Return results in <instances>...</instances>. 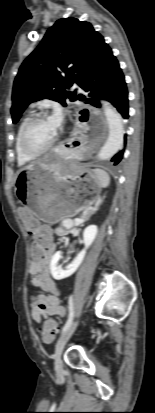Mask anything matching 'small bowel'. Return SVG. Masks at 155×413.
<instances>
[{
    "instance_id": "small-bowel-1",
    "label": "small bowel",
    "mask_w": 155,
    "mask_h": 413,
    "mask_svg": "<svg viewBox=\"0 0 155 413\" xmlns=\"http://www.w3.org/2000/svg\"><path fill=\"white\" fill-rule=\"evenodd\" d=\"M15 212L21 218L25 231H38L45 239L47 246L44 258L42 260L33 259L29 265L31 285L45 292L32 296V318L34 321L40 322L44 315L62 317L65 310L59 301L60 289L49 272L55 249L51 229L45 226V218H32L33 211L27 209L25 205H17Z\"/></svg>"
}]
</instances>
